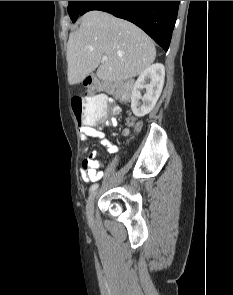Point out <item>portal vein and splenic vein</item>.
<instances>
[{
  "label": "portal vein and splenic vein",
  "instance_id": "portal-vein-and-splenic-vein-1",
  "mask_svg": "<svg viewBox=\"0 0 233 295\" xmlns=\"http://www.w3.org/2000/svg\"><path fill=\"white\" fill-rule=\"evenodd\" d=\"M102 60L106 61V60H108V57L104 55V56H102Z\"/></svg>",
  "mask_w": 233,
  "mask_h": 295
}]
</instances>
